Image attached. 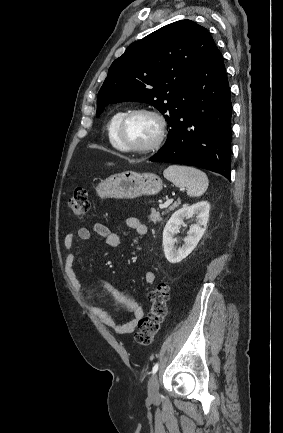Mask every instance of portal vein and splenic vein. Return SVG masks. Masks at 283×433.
<instances>
[{"instance_id": "portal-vein-and-splenic-vein-1", "label": "portal vein and splenic vein", "mask_w": 283, "mask_h": 433, "mask_svg": "<svg viewBox=\"0 0 283 433\" xmlns=\"http://www.w3.org/2000/svg\"><path fill=\"white\" fill-rule=\"evenodd\" d=\"M167 202H173V200H167ZM165 206H168V204H159V208H165Z\"/></svg>"}]
</instances>
